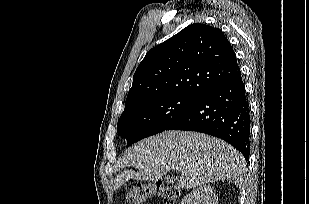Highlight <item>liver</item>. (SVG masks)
Segmentation results:
<instances>
[{
    "mask_svg": "<svg viewBox=\"0 0 309 204\" xmlns=\"http://www.w3.org/2000/svg\"><path fill=\"white\" fill-rule=\"evenodd\" d=\"M125 166L138 171L118 174L115 190L130 179L157 181L170 170L181 173L177 184L186 189L220 180L240 187L246 173L245 159L234 147L215 137L184 131H166L136 143L122 157L121 167Z\"/></svg>",
    "mask_w": 309,
    "mask_h": 204,
    "instance_id": "6515ba94",
    "label": "liver"
}]
</instances>
